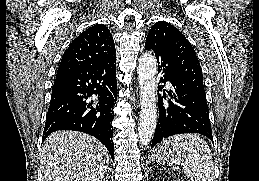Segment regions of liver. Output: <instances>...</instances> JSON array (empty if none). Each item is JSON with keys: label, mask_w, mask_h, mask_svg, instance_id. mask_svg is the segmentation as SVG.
<instances>
[{"label": "liver", "mask_w": 259, "mask_h": 181, "mask_svg": "<svg viewBox=\"0 0 259 181\" xmlns=\"http://www.w3.org/2000/svg\"><path fill=\"white\" fill-rule=\"evenodd\" d=\"M43 181H102L109 154L94 137L76 131L52 133L41 149Z\"/></svg>", "instance_id": "1"}]
</instances>
